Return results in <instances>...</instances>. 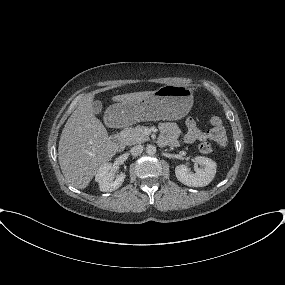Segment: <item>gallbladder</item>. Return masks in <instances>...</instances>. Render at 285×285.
I'll return each mask as SVG.
<instances>
[{"label": "gallbladder", "mask_w": 285, "mask_h": 285, "mask_svg": "<svg viewBox=\"0 0 285 285\" xmlns=\"http://www.w3.org/2000/svg\"><path fill=\"white\" fill-rule=\"evenodd\" d=\"M103 105L102 102L99 100H96L92 104V110L94 114H99L102 111Z\"/></svg>", "instance_id": "1"}]
</instances>
